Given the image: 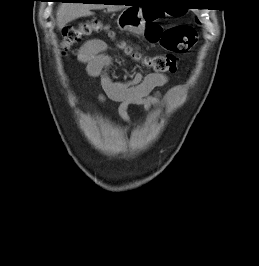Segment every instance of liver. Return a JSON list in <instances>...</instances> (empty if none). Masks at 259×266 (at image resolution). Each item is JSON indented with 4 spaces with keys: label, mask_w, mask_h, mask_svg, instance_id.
<instances>
[{
    "label": "liver",
    "mask_w": 259,
    "mask_h": 266,
    "mask_svg": "<svg viewBox=\"0 0 259 266\" xmlns=\"http://www.w3.org/2000/svg\"><path fill=\"white\" fill-rule=\"evenodd\" d=\"M99 4H83V3H63L61 4L56 13L57 27L62 29L65 25L80 17L92 15L91 10L100 8ZM119 8H110L111 11L118 10Z\"/></svg>",
    "instance_id": "6515ba94"
}]
</instances>
